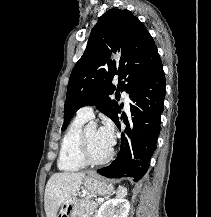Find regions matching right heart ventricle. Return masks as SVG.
I'll return each instance as SVG.
<instances>
[{
  "label": "right heart ventricle",
  "instance_id": "e07e8e85",
  "mask_svg": "<svg viewBox=\"0 0 211 217\" xmlns=\"http://www.w3.org/2000/svg\"><path fill=\"white\" fill-rule=\"evenodd\" d=\"M86 120L76 117L66 130L60 145L58 168L66 172L78 171L86 166L80 159L78 146Z\"/></svg>",
  "mask_w": 211,
  "mask_h": 217
}]
</instances>
